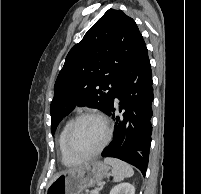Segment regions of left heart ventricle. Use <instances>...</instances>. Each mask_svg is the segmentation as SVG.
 Listing matches in <instances>:
<instances>
[{
    "instance_id": "b2bd125f",
    "label": "left heart ventricle",
    "mask_w": 201,
    "mask_h": 194,
    "mask_svg": "<svg viewBox=\"0 0 201 194\" xmlns=\"http://www.w3.org/2000/svg\"><path fill=\"white\" fill-rule=\"evenodd\" d=\"M104 138L103 123L95 118H85L76 125L71 144L77 153L89 154L99 148Z\"/></svg>"
}]
</instances>
